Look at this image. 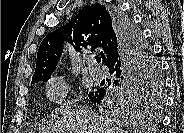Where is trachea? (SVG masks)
<instances>
[{"label": "trachea", "mask_w": 184, "mask_h": 133, "mask_svg": "<svg viewBox=\"0 0 184 133\" xmlns=\"http://www.w3.org/2000/svg\"><path fill=\"white\" fill-rule=\"evenodd\" d=\"M96 61H97V63H100L101 62V57H96Z\"/></svg>", "instance_id": "3493384b"}]
</instances>
